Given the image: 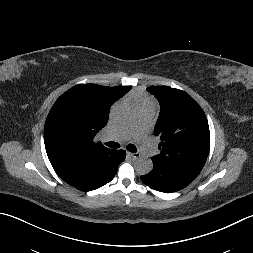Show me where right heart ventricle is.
Instances as JSON below:
<instances>
[{"label":"right heart ventricle","instance_id":"1","mask_svg":"<svg viewBox=\"0 0 253 253\" xmlns=\"http://www.w3.org/2000/svg\"><path fill=\"white\" fill-rule=\"evenodd\" d=\"M137 107H152L154 108V103L148 97H140L137 101Z\"/></svg>","mask_w":253,"mask_h":253}]
</instances>
